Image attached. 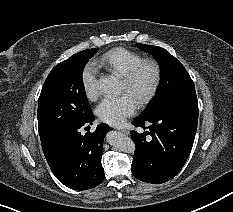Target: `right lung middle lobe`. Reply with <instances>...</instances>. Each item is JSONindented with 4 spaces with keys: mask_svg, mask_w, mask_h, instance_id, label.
Wrapping results in <instances>:
<instances>
[{
    "mask_svg": "<svg viewBox=\"0 0 233 212\" xmlns=\"http://www.w3.org/2000/svg\"><path fill=\"white\" fill-rule=\"evenodd\" d=\"M98 48L72 55L47 76L38 100L40 139L86 119L92 112L82 82V72Z\"/></svg>",
    "mask_w": 233,
    "mask_h": 212,
    "instance_id": "right-lung-middle-lobe-1",
    "label": "right lung middle lobe"
}]
</instances>
